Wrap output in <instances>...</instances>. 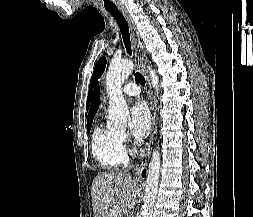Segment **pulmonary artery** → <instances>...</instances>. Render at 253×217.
<instances>
[{
  "instance_id": "e3ab8cb5",
  "label": "pulmonary artery",
  "mask_w": 253,
  "mask_h": 217,
  "mask_svg": "<svg viewBox=\"0 0 253 217\" xmlns=\"http://www.w3.org/2000/svg\"><path fill=\"white\" fill-rule=\"evenodd\" d=\"M123 93L128 96H137L140 93V88L136 83L130 82L124 85Z\"/></svg>"
}]
</instances>
